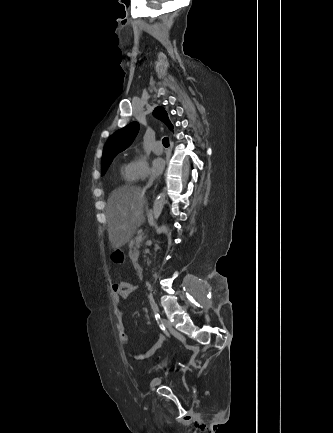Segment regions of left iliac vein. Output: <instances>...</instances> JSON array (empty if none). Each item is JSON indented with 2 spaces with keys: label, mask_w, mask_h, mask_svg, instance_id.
I'll return each instance as SVG.
<instances>
[{
  "label": "left iliac vein",
  "mask_w": 333,
  "mask_h": 433,
  "mask_svg": "<svg viewBox=\"0 0 333 433\" xmlns=\"http://www.w3.org/2000/svg\"><path fill=\"white\" fill-rule=\"evenodd\" d=\"M166 325H167V327H169L170 329H172V325H171L170 322H167Z\"/></svg>",
  "instance_id": "obj_1"
}]
</instances>
